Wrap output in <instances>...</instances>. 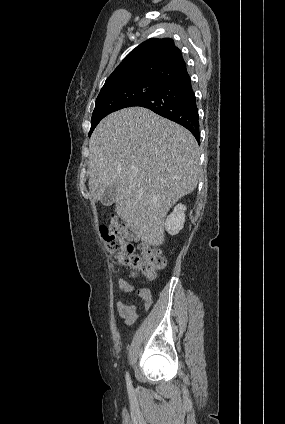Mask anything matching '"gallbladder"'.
I'll return each mask as SVG.
<instances>
[{
	"label": "gallbladder",
	"mask_w": 285,
	"mask_h": 424,
	"mask_svg": "<svg viewBox=\"0 0 285 424\" xmlns=\"http://www.w3.org/2000/svg\"><path fill=\"white\" fill-rule=\"evenodd\" d=\"M115 195H116L115 185L107 186L102 193L101 203L104 206L112 205L115 201Z\"/></svg>",
	"instance_id": "bac80fb5"
}]
</instances>
